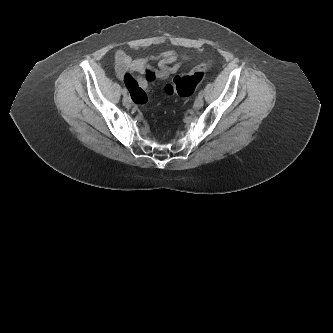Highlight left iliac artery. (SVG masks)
<instances>
[{
    "instance_id": "1",
    "label": "left iliac artery",
    "mask_w": 333,
    "mask_h": 333,
    "mask_svg": "<svg viewBox=\"0 0 333 333\" xmlns=\"http://www.w3.org/2000/svg\"><path fill=\"white\" fill-rule=\"evenodd\" d=\"M199 97H203V90H201L200 92H199V95H198Z\"/></svg>"
}]
</instances>
